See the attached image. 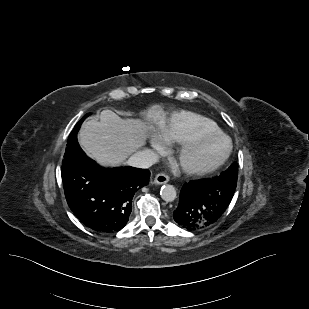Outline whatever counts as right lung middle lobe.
Instances as JSON below:
<instances>
[{
    "label": "right lung middle lobe",
    "mask_w": 309,
    "mask_h": 309,
    "mask_svg": "<svg viewBox=\"0 0 309 309\" xmlns=\"http://www.w3.org/2000/svg\"><path fill=\"white\" fill-rule=\"evenodd\" d=\"M90 115V113H88V114H86L84 117H83V119H85L87 116H89Z\"/></svg>",
    "instance_id": "1"
}]
</instances>
